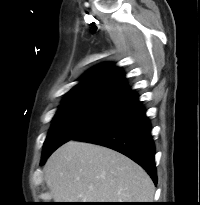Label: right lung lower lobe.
<instances>
[{
	"instance_id": "obj_1",
	"label": "right lung lower lobe",
	"mask_w": 200,
	"mask_h": 205,
	"mask_svg": "<svg viewBox=\"0 0 200 205\" xmlns=\"http://www.w3.org/2000/svg\"><path fill=\"white\" fill-rule=\"evenodd\" d=\"M70 140L95 143L119 151L143 167L157 183L151 124L134 91L127 92L115 101L105 113Z\"/></svg>"
}]
</instances>
